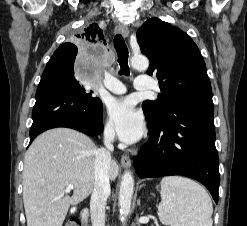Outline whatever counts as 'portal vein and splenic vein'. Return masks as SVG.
<instances>
[{
	"mask_svg": "<svg viewBox=\"0 0 247 226\" xmlns=\"http://www.w3.org/2000/svg\"><path fill=\"white\" fill-rule=\"evenodd\" d=\"M73 189V185L72 184H69L65 190V192H70L71 190Z\"/></svg>",
	"mask_w": 247,
	"mask_h": 226,
	"instance_id": "1",
	"label": "portal vein and splenic vein"
}]
</instances>
